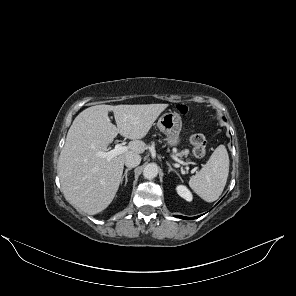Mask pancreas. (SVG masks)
Masks as SVG:
<instances>
[{"label": "pancreas", "mask_w": 296, "mask_h": 296, "mask_svg": "<svg viewBox=\"0 0 296 296\" xmlns=\"http://www.w3.org/2000/svg\"><path fill=\"white\" fill-rule=\"evenodd\" d=\"M187 153H188V151L185 150L184 152L177 153V155L181 157V156H183V155H187Z\"/></svg>", "instance_id": "obj_1"}]
</instances>
